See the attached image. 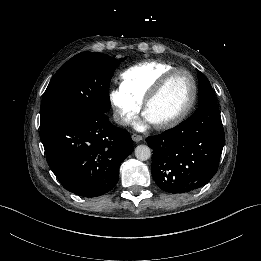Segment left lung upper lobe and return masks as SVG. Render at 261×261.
Returning <instances> with one entry per match:
<instances>
[{
    "label": "left lung upper lobe",
    "mask_w": 261,
    "mask_h": 261,
    "mask_svg": "<svg viewBox=\"0 0 261 261\" xmlns=\"http://www.w3.org/2000/svg\"><path fill=\"white\" fill-rule=\"evenodd\" d=\"M198 79H199V97H198V105L199 108L212 102H216L215 93L212 89L209 80L206 78V76L198 71Z\"/></svg>",
    "instance_id": "5c2ea615"
}]
</instances>
